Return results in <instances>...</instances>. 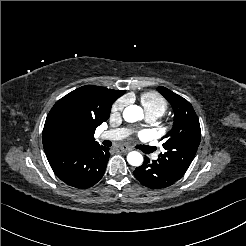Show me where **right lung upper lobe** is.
I'll return each instance as SVG.
<instances>
[{
    "label": "right lung upper lobe",
    "mask_w": 246,
    "mask_h": 246,
    "mask_svg": "<svg viewBox=\"0 0 246 246\" xmlns=\"http://www.w3.org/2000/svg\"><path fill=\"white\" fill-rule=\"evenodd\" d=\"M125 92L86 85L58 100L44 124V150L59 145L95 143V129L109 118L113 102Z\"/></svg>",
    "instance_id": "right-lung-upper-lobe-1"
}]
</instances>
